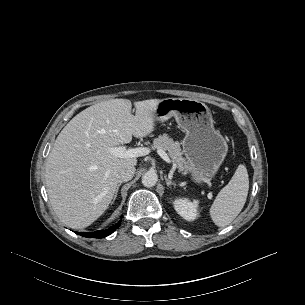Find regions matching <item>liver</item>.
<instances>
[{
	"label": "liver",
	"instance_id": "1",
	"mask_svg": "<svg viewBox=\"0 0 305 305\" xmlns=\"http://www.w3.org/2000/svg\"><path fill=\"white\" fill-rule=\"evenodd\" d=\"M162 99H111L77 114L59 133L45 165V183L58 218L72 229L96 221L112 203L116 175L136 158H119L110 148L153 132L154 110Z\"/></svg>",
	"mask_w": 305,
	"mask_h": 305
}]
</instances>
